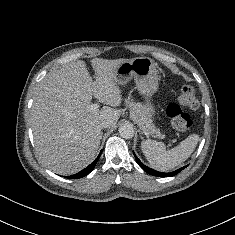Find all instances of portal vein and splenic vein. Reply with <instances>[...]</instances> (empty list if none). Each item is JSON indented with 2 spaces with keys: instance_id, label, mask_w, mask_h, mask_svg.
Here are the masks:
<instances>
[{
  "instance_id": "18ae733b",
  "label": "portal vein and splenic vein",
  "mask_w": 235,
  "mask_h": 235,
  "mask_svg": "<svg viewBox=\"0 0 235 235\" xmlns=\"http://www.w3.org/2000/svg\"><path fill=\"white\" fill-rule=\"evenodd\" d=\"M99 108V105L98 104H92L91 106H90V109L91 110H97ZM161 136V134L160 133H156L155 135H154V137H160Z\"/></svg>"
}]
</instances>
